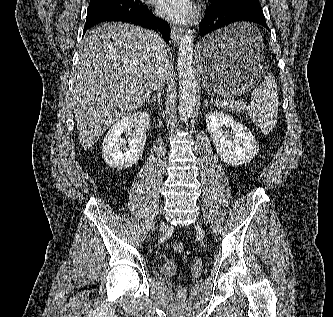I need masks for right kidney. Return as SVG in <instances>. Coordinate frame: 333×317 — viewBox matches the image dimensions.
Wrapping results in <instances>:
<instances>
[{"instance_id":"ca27d5eb","label":"right kidney","mask_w":333,"mask_h":317,"mask_svg":"<svg viewBox=\"0 0 333 317\" xmlns=\"http://www.w3.org/2000/svg\"><path fill=\"white\" fill-rule=\"evenodd\" d=\"M150 117L147 112L133 113L118 120L107 132L103 140L102 154L105 163L117 169L132 167L141 157L146 143V129ZM136 128V135L122 138L123 133ZM128 142V147L124 145Z\"/></svg>"}]
</instances>
